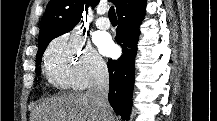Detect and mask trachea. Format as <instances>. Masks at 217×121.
<instances>
[{
	"mask_svg": "<svg viewBox=\"0 0 217 121\" xmlns=\"http://www.w3.org/2000/svg\"><path fill=\"white\" fill-rule=\"evenodd\" d=\"M108 17L109 19H117L116 13H115V9L114 7H110L109 11H108Z\"/></svg>",
	"mask_w": 217,
	"mask_h": 121,
	"instance_id": "1",
	"label": "trachea"
}]
</instances>
